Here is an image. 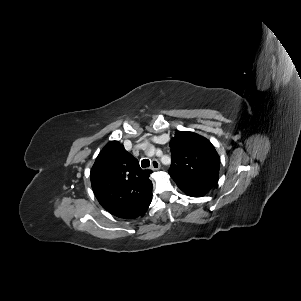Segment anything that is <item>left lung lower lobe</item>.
Wrapping results in <instances>:
<instances>
[{
	"label": "left lung lower lobe",
	"mask_w": 301,
	"mask_h": 301,
	"mask_svg": "<svg viewBox=\"0 0 301 301\" xmlns=\"http://www.w3.org/2000/svg\"><path fill=\"white\" fill-rule=\"evenodd\" d=\"M187 195L192 196V197H202V196H204V195H198V194H187Z\"/></svg>",
	"instance_id": "1"
}]
</instances>
